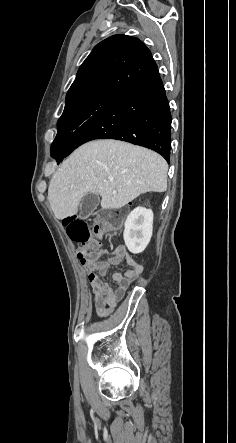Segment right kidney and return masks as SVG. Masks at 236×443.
<instances>
[{
  "label": "right kidney",
  "mask_w": 236,
  "mask_h": 443,
  "mask_svg": "<svg viewBox=\"0 0 236 443\" xmlns=\"http://www.w3.org/2000/svg\"><path fill=\"white\" fill-rule=\"evenodd\" d=\"M153 231V212L143 207L135 208L125 221L124 241L132 253H141L150 242Z\"/></svg>",
  "instance_id": "1"
}]
</instances>
